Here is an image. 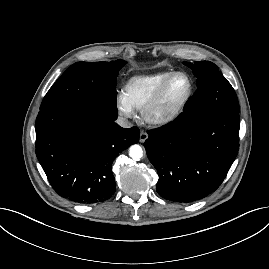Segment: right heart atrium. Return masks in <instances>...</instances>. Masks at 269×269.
<instances>
[{
	"mask_svg": "<svg viewBox=\"0 0 269 269\" xmlns=\"http://www.w3.org/2000/svg\"><path fill=\"white\" fill-rule=\"evenodd\" d=\"M115 104L119 114L123 117L130 118L134 115V109L129 104L124 94H117Z\"/></svg>",
	"mask_w": 269,
	"mask_h": 269,
	"instance_id": "1",
	"label": "right heart atrium"
}]
</instances>
